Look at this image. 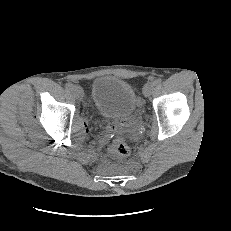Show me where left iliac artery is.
<instances>
[{"instance_id":"obj_1","label":"left iliac artery","mask_w":231,"mask_h":231,"mask_svg":"<svg viewBox=\"0 0 231 231\" xmlns=\"http://www.w3.org/2000/svg\"><path fill=\"white\" fill-rule=\"evenodd\" d=\"M161 82H162V80L160 78H158V79L154 80L153 83H154V85H160Z\"/></svg>"}]
</instances>
